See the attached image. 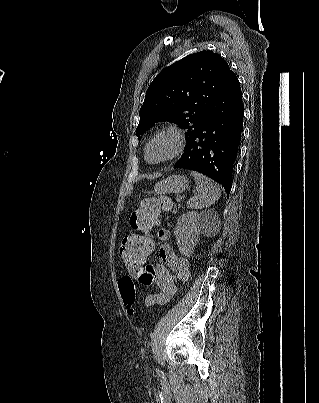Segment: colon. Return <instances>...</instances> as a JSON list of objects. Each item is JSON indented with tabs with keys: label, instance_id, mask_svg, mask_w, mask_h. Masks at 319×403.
Returning <instances> with one entry per match:
<instances>
[{
	"label": "colon",
	"instance_id": "1",
	"mask_svg": "<svg viewBox=\"0 0 319 403\" xmlns=\"http://www.w3.org/2000/svg\"><path fill=\"white\" fill-rule=\"evenodd\" d=\"M170 207L171 202L166 197L146 198L129 219L132 228L142 231H134V238H125L119 248L123 270H127L130 276H119L118 289L120 294L124 295L122 305L126 308V315L131 317L134 325H139L142 319V314L136 305V287L141 273L152 263L155 221L162 210Z\"/></svg>",
	"mask_w": 319,
	"mask_h": 403
}]
</instances>
